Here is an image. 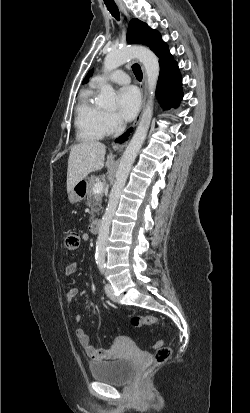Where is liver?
<instances>
[{"label": "liver", "instance_id": "6515ba94", "mask_svg": "<svg viewBox=\"0 0 250 413\" xmlns=\"http://www.w3.org/2000/svg\"><path fill=\"white\" fill-rule=\"evenodd\" d=\"M105 153V145L95 140L84 141L71 148L67 169L68 193L89 173L103 168ZM112 160L113 156L110 154L105 166L109 167Z\"/></svg>", "mask_w": 250, "mask_h": 413}]
</instances>
